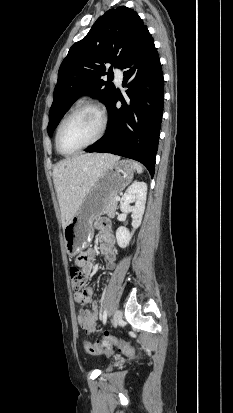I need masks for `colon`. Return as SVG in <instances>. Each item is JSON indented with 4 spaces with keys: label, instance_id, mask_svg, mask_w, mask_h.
I'll use <instances>...</instances> for the list:
<instances>
[{
    "label": "colon",
    "instance_id": "colon-1",
    "mask_svg": "<svg viewBox=\"0 0 233 413\" xmlns=\"http://www.w3.org/2000/svg\"><path fill=\"white\" fill-rule=\"evenodd\" d=\"M69 271L72 287L76 292H79L85 286L86 275L77 266H72ZM112 346L118 347L121 352L128 356H131L134 353L133 348L128 343L120 341L109 335H105L102 339H100L94 344L90 342L84 343L85 350L90 354H99L103 351L104 348L109 349Z\"/></svg>",
    "mask_w": 233,
    "mask_h": 413
}]
</instances>
